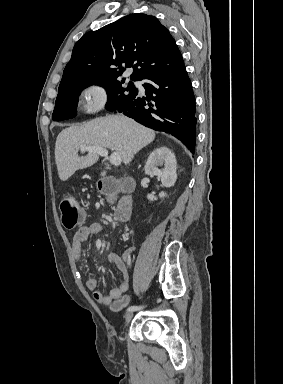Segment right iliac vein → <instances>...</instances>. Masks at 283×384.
<instances>
[{
  "instance_id": "right-iliac-vein-1",
  "label": "right iliac vein",
  "mask_w": 283,
  "mask_h": 384,
  "mask_svg": "<svg viewBox=\"0 0 283 384\" xmlns=\"http://www.w3.org/2000/svg\"><path fill=\"white\" fill-rule=\"evenodd\" d=\"M133 314H134V310H131V311H127L126 314H125V323L128 324L130 322V320L132 319L133 317Z\"/></svg>"
}]
</instances>
